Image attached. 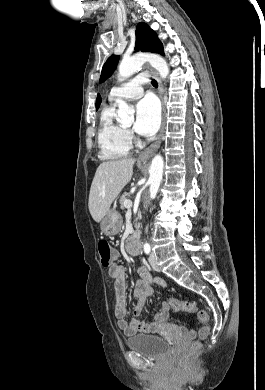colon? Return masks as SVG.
I'll return each instance as SVG.
<instances>
[{
	"mask_svg": "<svg viewBox=\"0 0 265 390\" xmlns=\"http://www.w3.org/2000/svg\"><path fill=\"white\" fill-rule=\"evenodd\" d=\"M98 252L100 256V261L104 267H109L112 265L114 260V251L110 244L106 240H101L98 243ZM168 303L170 307L178 312H194L196 311V305L192 302L188 301H180L174 297H170L168 299ZM198 318L200 322L203 324L201 329L199 330V338L205 339L210 331L209 328V316L206 312L200 311L198 313ZM201 343L199 341H194L187 351L182 356V360L184 362H190V360L198 353L200 350Z\"/></svg>",
	"mask_w": 265,
	"mask_h": 390,
	"instance_id": "obj_1",
	"label": "colon"
}]
</instances>
